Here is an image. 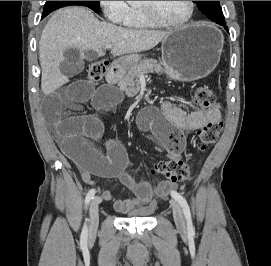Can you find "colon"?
I'll use <instances>...</instances> for the list:
<instances>
[{"instance_id": "1", "label": "colon", "mask_w": 271, "mask_h": 266, "mask_svg": "<svg viewBox=\"0 0 271 266\" xmlns=\"http://www.w3.org/2000/svg\"><path fill=\"white\" fill-rule=\"evenodd\" d=\"M108 63L104 60H97L88 66V80L92 84L99 83L107 71ZM195 104L201 107L205 113H211L215 110L216 95L214 91L206 86L198 87L193 95ZM223 129V123L218 118H212L198 131V143L201 149L215 143ZM190 166L180 159H170L159 162L153 173H157L165 177L168 181H183L190 176Z\"/></svg>"}]
</instances>
